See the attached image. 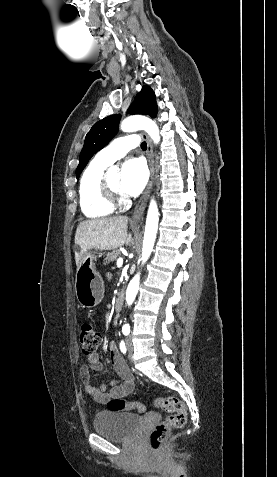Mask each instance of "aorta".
I'll return each mask as SVG.
<instances>
[{"mask_svg": "<svg viewBox=\"0 0 277 477\" xmlns=\"http://www.w3.org/2000/svg\"><path fill=\"white\" fill-rule=\"evenodd\" d=\"M145 130L154 143H158L160 141L159 135V128L157 124L152 121L151 119L144 117V116H131L124 119L121 123V130L124 132H133L137 130ZM109 173H116V167H110L108 170ZM158 223H159V211L157 207L156 201L153 199L150 202L147 218H146V226H145V233L143 239V248H142V257L141 261L144 264L148 258L150 257L156 235L158 230ZM139 282H140V274H136L133 279L130 281L127 291H126V302L127 305L130 306L135 300L139 289ZM129 325H125L127 327Z\"/></svg>", "mask_w": 277, "mask_h": 477, "instance_id": "obj_1", "label": "aorta"}]
</instances>
